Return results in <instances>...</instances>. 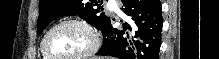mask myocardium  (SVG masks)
Here are the masks:
<instances>
[{"mask_svg":"<svg viewBox=\"0 0 219 59\" xmlns=\"http://www.w3.org/2000/svg\"><path fill=\"white\" fill-rule=\"evenodd\" d=\"M68 24H76V25L83 27L87 31V33L89 34V36L91 38V44L87 50H85L84 52L77 54L75 56H69V57L55 56L49 51V49L47 47L48 38L54 30H56L57 28H59L63 25H68ZM99 47H100V39L98 37L97 32L87 21L80 19V18H66V19H63V20L55 23L45 33V35L43 36L42 41H41V50L49 59H87V58H90L91 56H93L98 51Z\"/></svg>","mask_w":219,"mask_h":59,"instance_id":"f54148a6","label":"myocardium"}]
</instances>
